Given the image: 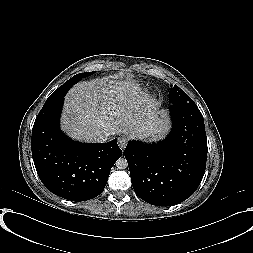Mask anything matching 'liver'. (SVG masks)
<instances>
[{
    "label": "liver",
    "instance_id": "obj_1",
    "mask_svg": "<svg viewBox=\"0 0 253 253\" xmlns=\"http://www.w3.org/2000/svg\"><path fill=\"white\" fill-rule=\"evenodd\" d=\"M154 120L149 96L139 84L102 78L80 82L69 90L62 129L86 142H97L103 134L143 138L152 131Z\"/></svg>",
    "mask_w": 253,
    "mask_h": 253
}]
</instances>
